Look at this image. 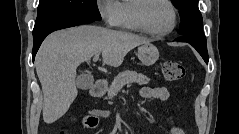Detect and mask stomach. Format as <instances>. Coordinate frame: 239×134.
Wrapping results in <instances>:
<instances>
[{
	"label": "stomach",
	"mask_w": 239,
	"mask_h": 134,
	"mask_svg": "<svg viewBox=\"0 0 239 134\" xmlns=\"http://www.w3.org/2000/svg\"><path fill=\"white\" fill-rule=\"evenodd\" d=\"M138 58L144 66H151L158 60L159 51L152 43H145L138 48Z\"/></svg>",
	"instance_id": "stomach-1"
}]
</instances>
